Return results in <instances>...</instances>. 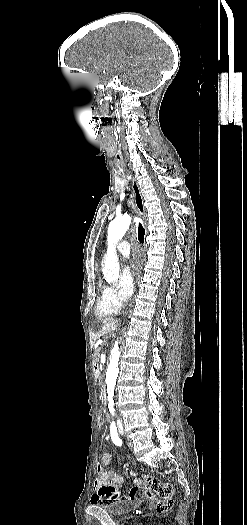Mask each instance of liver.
Masks as SVG:
<instances>
[{"mask_svg":"<svg viewBox=\"0 0 247 525\" xmlns=\"http://www.w3.org/2000/svg\"><path fill=\"white\" fill-rule=\"evenodd\" d=\"M101 327L102 329L99 333V337H102V335H108V333H112V331H116L118 323L117 321H103Z\"/></svg>","mask_w":247,"mask_h":525,"instance_id":"obj_1","label":"liver"}]
</instances>
